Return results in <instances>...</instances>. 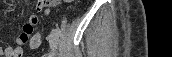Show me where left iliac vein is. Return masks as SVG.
Instances as JSON below:
<instances>
[{
	"mask_svg": "<svg viewBox=\"0 0 172 57\" xmlns=\"http://www.w3.org/2000/svg\"><path fill=\"white\" fill-rule=\"evenodd\" d=\"M58 41H59L58 33L56 32L55 29H53L49 34V44L53 51L56 49L58 45Z\"/></svg>",
	"mask_w": 172,
	"mask_h": 57,
	"instance_id": "obj_1",
	"label": "left iliac vein"
}]
</instances>
